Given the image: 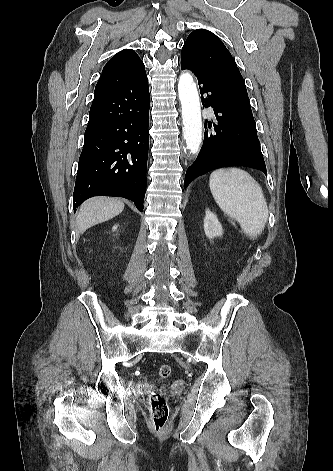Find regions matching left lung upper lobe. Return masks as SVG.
Returning <instances> with one entry per match:
<instances>
[{"label": "left lung upper lobe", "mask_w": 333, "mask_h": 471, "mask_svg": "<svg viewBox=\"0 0 333 471\" xmlns=\"http://www.w3.org/2000/svg\"><path fill=\"white\" fill-rule=\"evenodd\" d=\"M181 60L208 75L254 120L244 79L232 55L215 34L205 29L193 31L182 47Z\"/></svg>", "instance_id": "5c2ea615"}]
</instances>
